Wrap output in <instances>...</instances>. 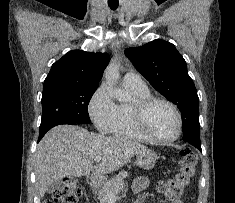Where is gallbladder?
I'll return each instance as SVG.
<instances>
[{
    "label": "gallbladder",
    "instance_id": "1",
    "mask_svg": "<svg viewBox=\"0 0 235 203\" xmlns=\"http://www.w3.org/2000/svg\"><path fill=\"white\" fill-rule=\"evenodd\" d=\"M60 185H62V180H57V182L53 183L49 188H48V192L52 193L53 191H55L56 189H58L60 187Z\"/></svg>",
    "mask_w": 235,
    "mask_h": 203
}]
</instances>
